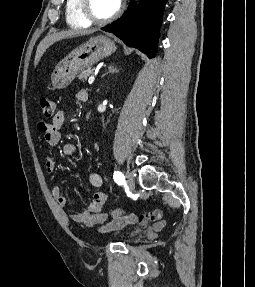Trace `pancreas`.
Returning a JSON list of instances; mask_svg holds the SVG:
<instances>
[{"label":"pancreas","mask_w":255,"mask_h":287,"mask_svg":"<svg viewBox=\"0 0 255 287\" xmlns=\"http://www.w3.org/2000/svg\"><path fill=\"white\" fill-rule=\"evenodd\" d=\"M95 68H87V70H83V72H81V74H79V76H77V78H79V80H82V82H86L88 76H91V74H93Z\"/></svg>","instance_id":"obj_1"}]
</instances>
